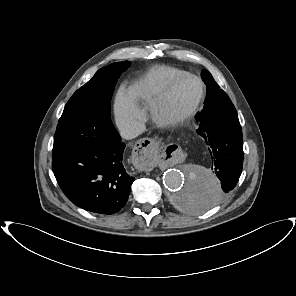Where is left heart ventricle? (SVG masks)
Returning <instances> with one entry per match:
<instances>
[{"label":"left heart ventricle","instance_id":"obj_1","mask_svg":"<svg viewBox=\"0 0 296 296\" xmlns=\"http://www.w3.org/2000/svg\"><path fill=\"white\" fill-rule=\"evenodd\" d=\"M199 91V85L196 80L192 78L182 80L170 95L168 112L178 115L188 110L196 101Z\"/></svg>","mask_w":296,"mask_h":296}]
</instances>
